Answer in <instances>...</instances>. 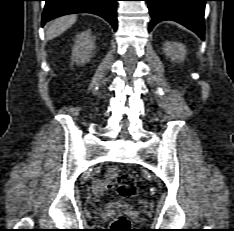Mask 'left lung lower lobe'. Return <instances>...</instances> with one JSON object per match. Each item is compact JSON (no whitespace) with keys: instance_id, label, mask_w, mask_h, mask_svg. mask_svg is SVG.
Masks as SVG:
<instances>
[{"instance_id":"1","label":"left lung lower lobe","mask_w":234,"mask_h":231,"mask_svg":"<svg viewBox=\"0 0 234 231\" xmlns=\"http://www.w3.org/2000/svg\"><path fill=\"white\" fill-rule=\"evenodd\" d=\"M151 16L149 31L164 20L176 21L195 32L202 40L205 36L204 10L209 0H145Z\"/></svg>"}]
</instances>
